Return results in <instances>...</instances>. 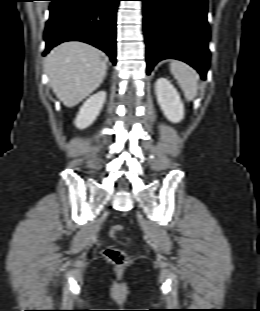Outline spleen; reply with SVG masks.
I'll return each instance as SVG.
<instances>
[{
  "label": "spleen",
  "mask_w": 260,
  "mask_h": 311,
  "mask_svg": "<svg viewBox=\"0 0 260 311\" xmlns=\"http://www.w3.org/2000/svg\"><path fill=\"white\" fill-rule=\"evenodd\" d=\"M170 71L178 81L186 99L192 101L198 91V73L188 64L177 60L171 61Z\"/></svg>",
  "instance_id": "obj_1"
}]
</instances>
